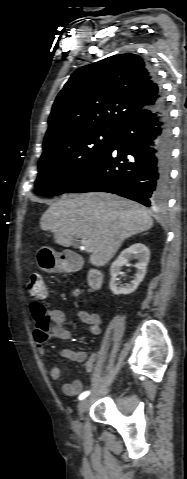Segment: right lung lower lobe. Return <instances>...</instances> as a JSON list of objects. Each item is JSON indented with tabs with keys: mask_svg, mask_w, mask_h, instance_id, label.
<instances>
[{
	"mask_svg": "<svg viewBox=\"0 0 187 479\" xmlns=\"http://www.w3.org/2000/svg\"><path fill=\"white\" fill-rule=\"evenodd\" d=\"M154 81L155 74L150 70ZM159 86V84H158ZM162 97L128 119L108 151L65 193L110 192L145 206L165 203L171 166L172 127Z\"/></svg>",
	"mask_w": 187,
	"mask_h": 479,
	"instance_id": "right-lung-lower-lobe-1",
	"label": "right lung lower lobe"
}]
</instances>
